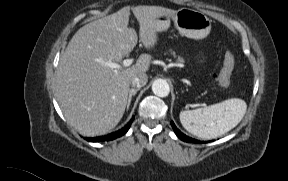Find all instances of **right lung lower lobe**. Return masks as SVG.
Returning a JSON list of instances; mask_svg holds the SVG:
<instances>
[{
	"mask_svg": "<svg viewBox=\"0 0 288 181\" xmlns=\"http://www.w3.org/2000/svg\"><path fill=\"white\" fill-rule=\"evenodd\" d=\"M133 119L132 118L128 124H126L123 128H121L120 130L116 131V132H113V133H110V134H107V135H104V136H99V137H93V138H85L87 141L89 142H103V141H111V140H114L116 138H119L121 136H123L124 134L127 133V131L129 130L132 122H133Z\"/></svg>",
	"mask_w": 288,
	"mask_h": 181,
	"instance_id": "obj_1",
	"label": "right lung lower lobe"
}]
</instances>
